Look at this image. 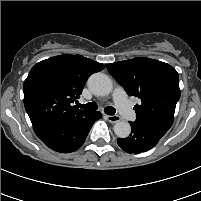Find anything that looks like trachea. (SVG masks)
Returning a JSON list of instances; mask_svg holds the SVG:
<instances>
[{"mask_svg": "<svg viewBox=\"0 0 201 201\" xmlns=\"http://www.w3.org/2000/svg\"><path fill=\"white\" fill-rule=\"evenodd\" d=\"M79 108L95 111L98 109V105L95 102H89L87 104H79ZM105 113L108 115H114L116 113V110L112 106H108L104 109Z\"/></svg>", "mask_w": 201, "mask_h": 201, "instance_id": "1", "label": "trachea"}]
</instances>
